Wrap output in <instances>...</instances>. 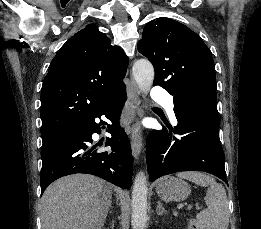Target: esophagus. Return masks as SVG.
<instances>
[{
    "label": "esophagus",
    "mask_w": 261,
    "mask_h": 229,
    "mask_svg": "<svg viewBox=\"0 0 261 229\" xmlns=\"http://www.w3.org/2000/svg\"><path fill=\"white\" fill-rule=\"evenodd\" d=\"M127 93H128V100L131 103V112L138 117L136 119V121H138L143 116V112H141V107H140L139 89L132 75H130V83L127 88ZM131 150L134 159H138L142 151V137L139 129H135L132 134Z\"/></svg>",
    "instance_id": "1"
}]
</instances>
